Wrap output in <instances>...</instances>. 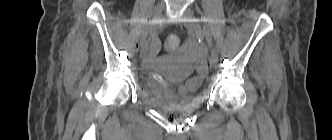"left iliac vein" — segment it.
<instances>
[{
  "instance_id": "4c4485c4",
  "label": "left iliac vein",
  "mask_w": 332,
  "mask_h": 140,
  "mask_svg": "<svg viewBox=\"0 0 332 140\" xmlns=\"http://www.w3.org/2000/svg\"><path fill=\"white\" fill-rule=\"evenodd\" d=\"M194 19L193 11L190 8L186 9L184 13V23L185 26L192 32H196V24L194 23ZM209 62L212 67H215L217 64V60L212 55Z\"/></svg>"
}]
</instances>
